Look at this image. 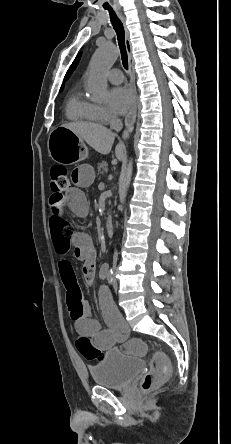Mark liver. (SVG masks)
Here are the masks:
<instances>
[{
  "label": "liver",
  "instance_id": "obj_1",
  "mask_svg": "<svg viewBox=\"0 0 231 444\" xmlns=\"http://www.w3.org/2000/svg\"><path fill=\"white\" fill-rule=\"evenodd\" d=\"M83 139L89 146L101 154H108L111 151L115 134L108 128L91 122H73L62 125ZM126 151L123 143H119L115 148L116 159L112 161L116 164L125 158Z\"/></svg>",
  "mask_w": 231,
  "mask_h": 444
}]
</instances>
